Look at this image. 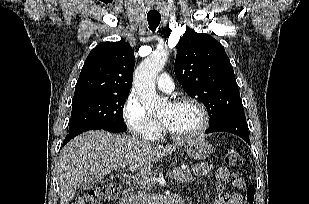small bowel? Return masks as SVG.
Masks as SVG:
<instances>
[{"instance_id":"small-bowel-1","label":"small bowel","mask_w":309,"mask_h":204,"mask_svg":"<svg viewBox=\"0 0 309 204\" xmlns=\"http://www.w3.org/2000/svg\"><path fill=\"white\" fill-rule=\"evenodd\" d=\"M196 170L201 174H207L211 170V166L207 163L201 164L196 167ZM215 180L217 187V194L214 204H243L244 195L242 191L246 187V183L237 172L231 171L227 167H218L215 170ZM232 181L237 191H226L224 184Z\"/></svg>"}]
</instances>
